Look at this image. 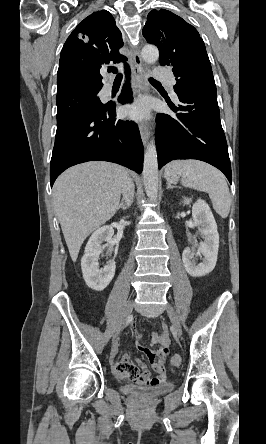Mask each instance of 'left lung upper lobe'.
I'll return each mask as SVG.
<instances>
[{
    "instance_id": "obj_1",
    "label": "left lung upper lobe",
    "mask_w": 266,
    "mask_h": 444,
    "mask_svg": "<svg viewBox=\"0 0 266 444\" xmlns=\"http://www.w3.org/2000/svg\"><path fill=\"white\" fill-rule=\"evenodd\" d=\"M143 36L158 47L160 64L172 67L177 94L216 93L204 42L192 25L168 10H152L147 16Z\"/></svg>"
}]
</instances>
